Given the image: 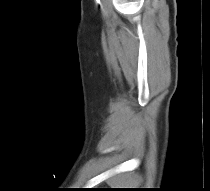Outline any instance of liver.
I'll use <instances>...</instances> for the list:
<instances>
[{
  "label": "liver",
  "mask_w": 210,
  "mask_h": 191,
  "mask_svg": "<svg viewBox=\"0 0 210 191\" xmlns=\"http://www.w3.org/2000/svg\"><path fill=\"white\" fill-rule=\"evenodd\" d=\"M127 178L128 177L126 175H117V176L112 177L109 180V183L112 185H121L122 183L127 182Z\"/></svg>",
  "instance_id": "6515ba94"
}]
</instances>
